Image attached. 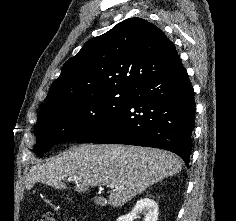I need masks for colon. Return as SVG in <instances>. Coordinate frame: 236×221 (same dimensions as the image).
Listing matches in <instances>:
<instances>
[{"mask_svg":"<svg viewBox=\"0 0 236 221\" xmlns=\"http://www.w3.org/2000/svg\"><path fill=\"white\" fill-rule=\"evenodd\" d=\"M33 221H57L55 216L50 213V212H47L45 213L42 217L38 218V219H35ZM69 221H77L76 219H70Z\"/></svg>","mask_w":236,"mask_h":221,"instance_id":"obj_1","label":"colon"}]
</instances>
